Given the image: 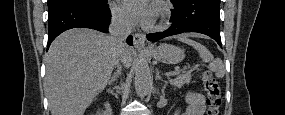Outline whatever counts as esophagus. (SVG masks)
<instances>
[{"instance_id": "34e87169", "label": "esophagus", "mask_w": 285, "mask_h": 115, "mask_svg": "<svg viewBox=\"0 0 285 115\" xmlns=\"http://www.w3.org/2000/svg\"><path fill=\"white\" fill-rule=\"evenodd\" d=\"M134 46L138 49L146 47V37L143 33H135L133 37Z\"/></svg>"}]
</instances>
